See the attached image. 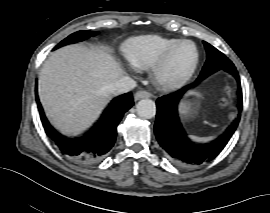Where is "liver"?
I'll return each instance as SVG.
<instances>
[{
  "mask_svg": "<svg viewBox=\"0 0 270 213\" xmlns=\"http://www.w3.org/2000/svg\"><path fill=\"white\" fill-rule=\"evenodd\" d=\"M121 75L106 48L68 45L45 61L39 73V98L53 125L76 135L98 118Z\"/></svg>",
  "mask_w": 270,
  "mask_h": 213,
  "instance_id": "1",
  "label": "liver"
}]
</instances>
